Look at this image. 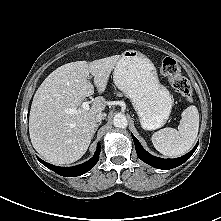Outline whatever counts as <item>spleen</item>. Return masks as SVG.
Returning <instances> with one entry per match:
<instances>
[{
	"instance_id": "3e777b00",
	"label": "spleen",
	"mask_w": 221,
	"mask_h": 221,
	"mask_svg": "<svg viewBox=\"0 0 221 221\" xmlns=\"http://www.w3.org/2000/svg\"><path fill=\"white\" fill-rule=\"evenodd\" d=\"M199 129V112L196 106L187 107L181 114L178 130L163 128L152 135V143L165 156L175 157L187 152L194 144Z\"/></svg>"
}]
</instances>
